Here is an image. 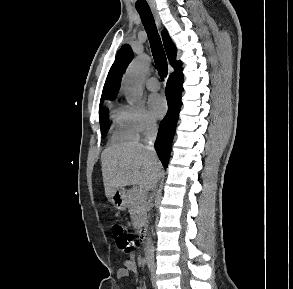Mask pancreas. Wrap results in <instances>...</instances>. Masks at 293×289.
<instances>
[{
    "label": "pancreas",
    "mask_w": 293,
    "mask_h": 289,
    "mask_svg": "<svg viewBox=\"0 0 293 289\" xmlns=\"http://www.w3.org/2000/svg\"><path fill=\"white\" fill-rule=\"evenodd\" d=\"M127 205L134 226L141 228L146 220V195L136 192L134 189L127 192Z\"/></svg>",
    "instance_id": "cf45deb5"
}]
</instances>
